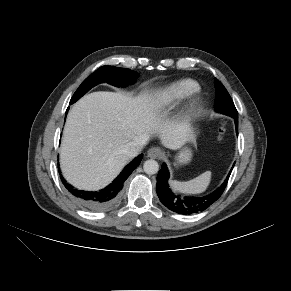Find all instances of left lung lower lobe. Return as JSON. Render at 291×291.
I'll return each instance as SVG.
<instances>
[{"label": "left lung lower lobe", "instance_id": "obj_1", "mask_svg": "<svg viewBox=\"0 0 291 291\" xmlns=\"http://www.w3.org/2000/svg\"><path fill=\"white\" fill-rule=\"evenodd\" d=\"M231 117L235 119L236 132L238 135V116L233 115ZM231 171L229 172L224 183L211 194L204 197H181L175 195L169 188V171L166 164H163L157 176V195L164 206L178 214L191 215L199 213L207 209L211 204L220 198L227 185Z\"/></svg>", "mask_w": 291, "mask_h": 291}]
</instances>
